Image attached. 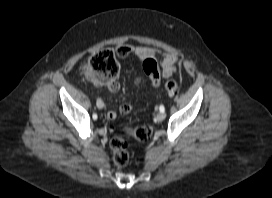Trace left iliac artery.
I'll use <instances>...</instances> for the list:
<instances>
[{
	"label": "left iliac artery",
	"mask_w": 272,
	"mask_h": 198,
	"mask_svg": "<svg viewBox=\"0 0 272 198\" xmlns=\"http://www.w3.org/2000/svg\"><path fill=\"white\" fill-rule=\"evenodd\" d=\"M159 110H160V112H164V111H165L164 106H163V105H160Z\"/></svg>",
	"instance_id": "44dca946"
}]
</instances>
